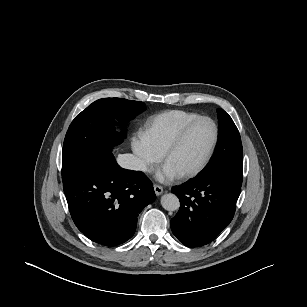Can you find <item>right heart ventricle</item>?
<instances>
[{
  "mask_svg": "<svg viewBox=\"0 0 307 307\" xmlns=\"http://www.w3.org/2000/svg\"><path fill=\"white\" fill-rule=\"evenodd\" d=\"M200 116L198 113L183 110L163 112L149 120L144 136L157 152L163 154L179 130Z\"/></svg>",
  "mask_w": 307,
  "mask_h": 307,
  "instance_id": "e07e8e85",
  "label": "right heart ventricle"
}]
</instances>
